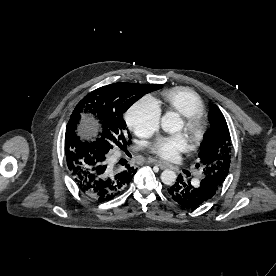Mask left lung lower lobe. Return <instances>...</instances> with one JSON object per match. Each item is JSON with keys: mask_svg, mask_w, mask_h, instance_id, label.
Segmentation results:
<instances>
[{"mask_svg": "<svg viewBox=\"0 0 276 276\" xmlns=\"http://www.w3.org/2000/svg\"><path fill=\"white\" fill-rule=\"evenodd\" d=\"M218 189V184L210 176H203L201 182L193 186L190 181L179 175L177 182L168 189V193L181 206L196 209L209 201Z\"/></svg>", "mask_w": 276, "mask_h": 276, "instance_id": "1", "label": "left lung lower lobe"}]
</instances>
